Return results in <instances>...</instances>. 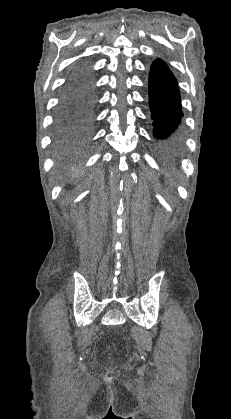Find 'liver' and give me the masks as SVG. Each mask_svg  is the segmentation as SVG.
I'll return each instance as SVG.
<instances>
[{
  "instance_id": "1",
  "label": "liver",
  "mask_w": 231,
  "mask_h": 419,
  "mask_svg": "<svg viewBox=\"0 0 231 419\" xmlns=\"http://www.w3.org/2000/svg\"><path fill=\"white\" fill-rule=\"evenodd\" d=\"M78 175V172H74L73 177L76 178Z\"/></svg>"
}]
</instances>
